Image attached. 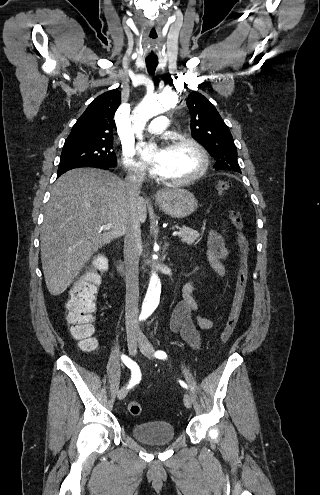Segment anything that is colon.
<instances>
[{
    "label": "colon",
    "mask_w": 320,
    "mask_h": 495,
    "mask_svg": "<svg viewBox=\"0 0 320 495\" xmlns=\"http://www.w3.org/2000/svg\"><path fill=\"white\" fill-rule=\"evenodd\" d=\"M230 188L231 183L223 181L218 184V194L225 196ZM229 217L237 231L236 242L240 265L231 312L220 337L222 343H226L231 338L238 323L248 281V256L250 251V243L244 231L243 216L238 211L231 210ZM106 270L107 260L102 256L96 258L92 267L74 284L66 303L67 322L70 326V331L75 338L80 340L82 347L86 350H92L96 345L95 340L92 338L96 294L102 275ZM128 410L131 415L139 416L142 413V406L138 402H131Z\"/></svg>",
    "instance_id": "colon-1"
}]
</instances>
